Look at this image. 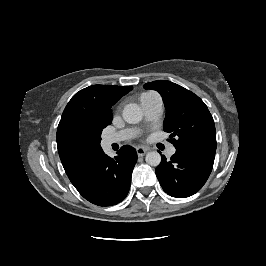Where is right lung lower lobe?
I'll list each match as a JSON object with an SVG mask.
<instances>
[{
    "label": "right lung lower lobe",
    "mask_w": 266,
    "mask_h": 266,
    "mask_svg": "<svg viewBox=\"0 0 266 266\" xmlns=\"http://www.w3.org/2000/svg\"><path fill=\"white\" fill-rule=\"evenodd\" d=\"M117 154L111 158L102 151L84 180L75 186L89 202L99 206H111L127 196L137 153L134 148L126 145Z\"/></svg>",
    "instance_id": "98d812e1"
}]
</instances>
